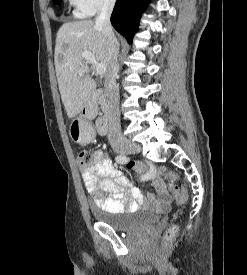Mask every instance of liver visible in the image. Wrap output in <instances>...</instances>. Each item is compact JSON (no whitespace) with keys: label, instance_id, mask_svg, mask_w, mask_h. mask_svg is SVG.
Returning a JSON list of instances; mask_svg holds the SVG:
<instances>
[{"label":"liver","instance_id":"obj_1","mask_svg":"<svg viewBox=\"0 0 247 275\" xmlns=\"http://www.w3.org/2000/svg\"><path fill=\"white\" fill-rule=\"evenodd\" d=\"M84 51L109 68L108 48L102 30L92 20L64 23L57 32L55 70L61 99L69 118L77 116L96 88L89 75Z\"/></svg>","mask_w":247,"mask_h":275}]
</instances>
